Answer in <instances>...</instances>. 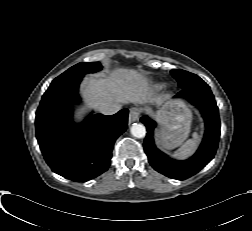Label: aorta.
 Here are the masks:
<instances>
[{"instance_id": "obj_1", "label": "aorta", "mask_w": 252, "mask_h": 231, "mask_svg": "<svg viewBox=\"0 0 252 231\" xmlns=\"http://www.w3.org/2000/svg\"><path fill=\"white\" fill-rule=\"evenodd\" d=\"M131 134L136 138H144L146 135V128L142 124L134 123L130 129Z\"/></svg>"}]
</instances>
